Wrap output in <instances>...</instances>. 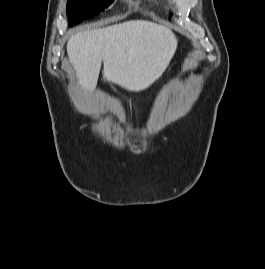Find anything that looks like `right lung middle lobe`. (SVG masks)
Instances as JSON below:
<instances>
[{
	"instance_id": "1",
	"label": "right lung middle lobe",
	"mask_w": 265,
	"mask_h": 269,
	"mask_svg": "<svg viewBox=\"0 0 265 269\" xmlns=\"http://www.w3.org/2000/svg\"><path fill=\"white\" fill-rule=\"evenodd\" d=\"M114 0H68L69 25H75L107 8Z\"/></svg>"
}]
</instances>
